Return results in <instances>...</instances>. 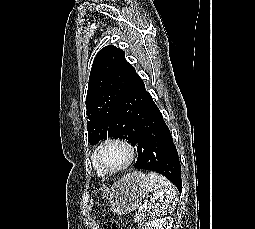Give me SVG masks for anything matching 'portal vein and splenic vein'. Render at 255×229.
<instances>
[{
    "mask_svg": "<svg viewBox=\"0 0 255 229\" xmlns=\"http://www.w3.org/2000/svg\"><path fill=\"white\" fill-rule=\"evenodd\" d=\"M146 205H147V201L144 202V204L139 208V210H143L144 207H146Z\"/></svg>",
    "mask_w": 255,
    "mask_h": 229,
    "instance_id": "obj_1",
    "label": "portal vein and splenic vein"
}]
</instances>
